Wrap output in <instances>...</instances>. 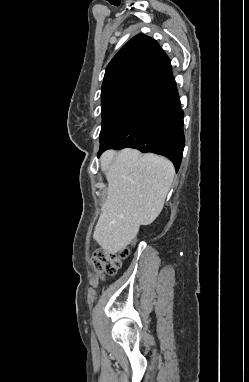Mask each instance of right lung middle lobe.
Wrapping results in <instances>:
<instances>
[{"label": "right lung middle lobe", "mask_w": 249, "mask_h": 382, "mask_svg": "<svg viewBox=\"0 0 249 382\" xmlns=\"http://www.w3.org/2000/svg\"><path fill=\"white\" fill-rule=\"evenodd\" d=\"M150 104L148 101L129 99L103 107L100 146L122 133Z\"/></svg>", "instance_id": "dd1d6c3e"}]
</instances>
